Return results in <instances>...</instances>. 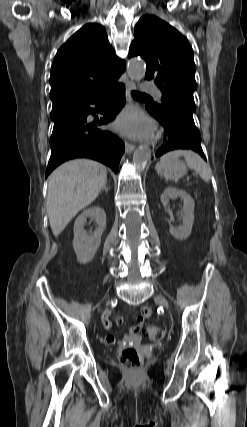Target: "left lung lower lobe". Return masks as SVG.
Returning a JSON list of instances; mask_svg holds the SVG:
<instances>
[{"instance_id":"0a47b994","label":"left lung lower lobe","mask_w":247,"mask_h":427,"mask_svg":"<svg viewBox=\"0 0 247 427\" xmlns=\"http://www.w3.org/2000/svg\"><path fill=\"white\" fill-rule=\"evenodd\" d=\"M146 109L164 126L166 131L163 145L156 152V157L169 151L187 149L198 153L206 160L201 147V136L194 123L193 114L175 107H167L163 112L155 111L151 105H146Z\"/></svg>"}]
</instances>
